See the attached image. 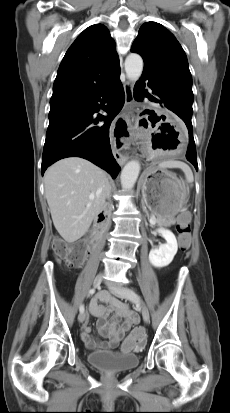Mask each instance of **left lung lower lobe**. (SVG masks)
Returning <instances> with one entry per match:
<instances>
[{"instance_id": "left-lung-lower-lobe-1", "label": "left lung lower lobe", "mask_w": 230, "mask_h": 413, "mask_svg": "<svg viewBox=\"0 0 230 413\" xmlns=\"http://www.w3.org/2000/svg\"><path fill=\"white\" fill-rule=\"evenodd\" d=\"M145 80H148L147 85L152 89L153 93L157 96V94L154 91L152 82L149 79H147L146 77L142 76L141 79L136 83V85L134 87V98L137 101H142L143 100V96L141 95V91L145 86ZM150 100L153 101V102L160 103L163 107H166L167 109H169L170 111L175 113L185 123V125L188 129V133H189V145H188V148H187L186 158L189 162H191L194 165L196 170H198L196 147H195V141H194V138H193V128H192L191 116L188 113H186L180 106H178L176 104H173L171 102L161 101L159 99V97L158 98L152 97V99H150ZM171 133H173V132H171Z\"/></svg>"}]
</instances>
